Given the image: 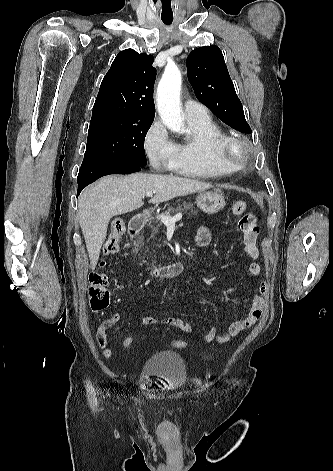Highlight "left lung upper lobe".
<instances>
[{
    "mask_svg": "<svg viewBox=\"0 0 333 471\" xmlns=\"http://www.w3.org/2000/svg\"><path fill=\"white\" fill-rule=\"evenodd\" d=\"M188 79L198 100L220 120L243 133L252 130L245 120L223 54L217 46L200 47L187 58Z\"/></svg>",
    "mask_w": 333,
    "mask_h": 471,
    "instance_id": "obj_1",
    "label": "left lung upper lobe"
}]
</instances>
